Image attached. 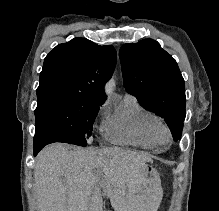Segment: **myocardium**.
Wrapping results in <instances>:
<instances>
[{"mask_svg":"<svg viewBox=\"0 0 219 211\" xmlns=\"http://www.w3.org/2000/svg\"><path fill=\"white\" fill-rule=\"evenodd\" d=\"M156 134L161 143H167L171 139V132L167 125L160 123L156 128Z\"/></svg>","mask_w":219,"mask_h":211,"instance_id":"myocardium-1","label":"myocardium"}]
</instances>
